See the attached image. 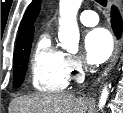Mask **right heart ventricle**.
<instances>
[{
	"mask_svg": "<svg viewBox=\"0 0 123 113\" xmlns=\"http://www.w3.org/2000/svg\"><path fill=\"white\" fill-rule=\"evenodd\" d=\"M68 81L65 54L53 46L48 34L42 35L32 57V86L41 92L55 93L64 90Z\"/></svg>",
	"mask_w": 123,
	"mask_h": 113,
	"instance_id": "obj_1",
	"label": "right heart ventricle"
}]
</instances>
